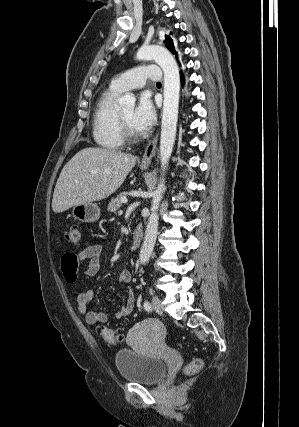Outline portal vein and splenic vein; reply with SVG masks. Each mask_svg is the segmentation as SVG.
<instances>
[{
	"instance_id": "portal-vein-and-splenic-vein-1",
	"label": "portal vein and splenic vein",
	"mask_w": 299,
	"mask_h": 427,
	"mask_svg": "<svg viewBox=\"0 0 299 427\" xmlns=\"http://www.w3.org/2000/svg\"><path fill=\"white\" fill-rule=\"evenodd\" d=\"M121 202H122V203H127V202H128V200H127V198L123 197V198H121ZM121 212H122V211H121Z\"/></svg>"
}]
</instances>
